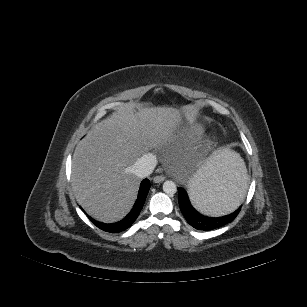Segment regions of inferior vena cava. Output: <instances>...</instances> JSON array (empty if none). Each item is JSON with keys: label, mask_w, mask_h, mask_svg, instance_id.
I'll list each match as a JSON object with an SVG mask.
<instances>
[{"label": "inferior vena cava", "mask_w": 307, "mask_h": 307, "mask_svg": "<svg viewBox=\"0 0 307 307\" xmlns=\"http://www.w3.org/2000/svg\"><path fill=\"white\" fill-rule=\"evenodd\" d=\"M157 164V158L153 154H146L139 158L133 165V173L139 178L149 176Z\"/></svg>", "instance_id": "1"}]
</instances>
